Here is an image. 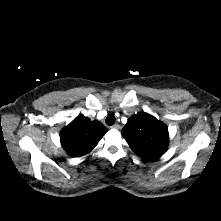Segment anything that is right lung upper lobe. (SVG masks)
Instances as JSON below:
<instances>
[{"label":"right lung upper lobe","mask_w":221,"mask_h":221,"mask_svg":"<svg viewBox=\"0 0 221 221\" xmlns=\"http://www.w3.org/2000/svg\"><path fill=\"white\" fill-rule=\"evenodd\" d=\"M107 131L99 121L78 115L61 131V144L70 156L80 157L89 153Z\"/></svg>","instance_id":"1"}]
</instances>
